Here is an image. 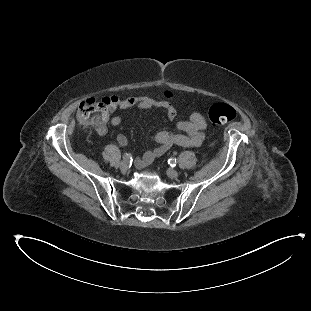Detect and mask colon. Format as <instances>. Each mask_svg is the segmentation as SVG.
Returning <instances> with one entry per match:
<instances>
[{
  "label": "colon",
  "mask_w": 311,
  "mask_h": 311,
  "mask_svg": "<svg viewBox=\"0 0 311 311\" xmlns=\"http://www.w3.org/2000/svg\"><path fill=\"white\" fill-rule=\"evenodd\" d=\"M166 98L172 94L166 93ZM113 101L108 98L88 99L80 103L77 118L82 127L95 125L103 127L109 117ZM237 112L234 107L224 103H216L209 109V118L214 125L232 122L236 119Z\"/></svg>",
  "instance_id": "colon-1"
}]
</instances>
